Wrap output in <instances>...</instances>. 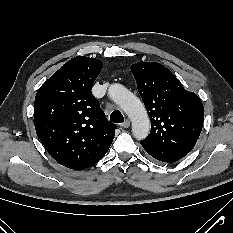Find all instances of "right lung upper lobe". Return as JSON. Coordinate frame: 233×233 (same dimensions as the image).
<instances>
[{
	"label": "right lung upper lobe",
	"mask_w": 233,
	"mask_h": 233,
	"mask_svg": "<svg viewBox=\"0 0 233 233\" xmlns=\"http://www.w3.org/2000/svg\"><path fill=\"white\" fill-rule=\"evenodd\" d=\"M102 66L95 58L75 57L35 97L36 133L48 153L70 169L83 170L97 163L108 151L117 128L106 119L91 92Z\"/></svg>",
	"instance_id": "1"
}]
</instances>
